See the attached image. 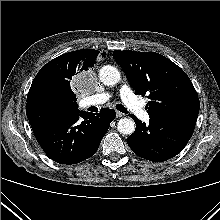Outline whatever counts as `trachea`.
<instances>
[{"instance_id": "1", "label": "trachea", "mask_w": 220, "mask_h": 220, "mask_svg": "<svg viewBox=\"0 0 220 220\" xmlns=\"http://www.w3.org/2000/svg\"><path fill=\"white\" fill-rule=\"evenodd\" d=\"M116 108L122 113H128L127 109L122 104H117Z\"/></svg>"}]
</instances>
